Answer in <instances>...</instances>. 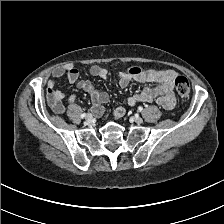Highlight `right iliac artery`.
<instances>
[{"mask_svg":"<svg viewBox=\"0 0 224 224\" xmlns=\"http://www.w3.org/2000/svg\"><path fill=\"white\" fill-rule=\"evenodd\" d=\"M86 116H87L86 113H83V114L81 115L82 118H85Z\"/></svg>","mask_w":224,"mask_h":224,"instance_id":"obj_1","label":"right iliac artery"}]
</instances>
